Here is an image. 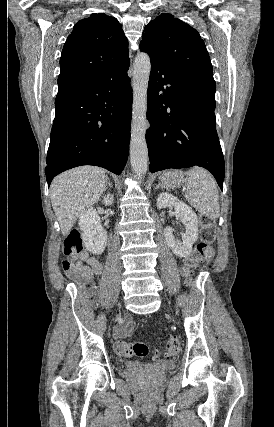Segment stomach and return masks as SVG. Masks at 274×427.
<instances>
[{"label":"stomach","mask_w":274,"mask_h":427,"mask_svg":"<svg viewBox=\"0 0 274 427\" xmlns=\"http://www.w3.org/2000/svg\"><path fill=\"white\" fill-rule=\"evenodd\" d=\"M184 174L180 170H173V172H164L160 176V186L170 190V188H179L184 182Z\"/></svg>","instance_id":"stomach-1"}]
</instances>
